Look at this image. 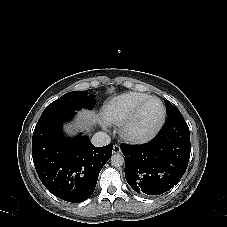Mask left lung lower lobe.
Listing matches in <instances>:
<instances>
[{
  "label": "left lung lower lobe",
  "mask_w": 227,
  "mask_h": 227,
  "mask_svg": "<svg viewBox=\"0 0 227 227\" xmlns=\"http://www.w3.org/2000/svg\"><path fill=\"white\" fill-rule=\"evenodd\" d=\"M120 149L125 156V178L132 189L143 196L160 195L176 185L187 169L189 127L177 109L150 142L121 144Z\"/></svg>",
  "instance_id": "1"
}]
</instances>
